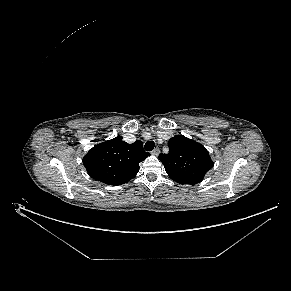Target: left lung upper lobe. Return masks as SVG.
Returning <instances> with one entry per match:
<instances>
[{
  "label": "left lung upper lobe",
  "instance_id": "obj_1",
  "mask_svg": "<svg viewBox=\"0 0 291 291\" xmlns=\"http://www.w3.org/2000/svg\"><path fill=\"white\" fill-rule=\"evenodd\" d=\"M168 146L169 153L161 154L159 159L177 183L197 184L214 165L204 146L183 135L172 137Z\"/></svg>",
  "mask_w": 291,
  "mask_h": 291
}]
</instances>
